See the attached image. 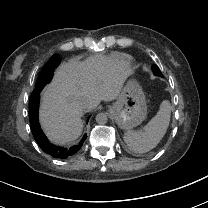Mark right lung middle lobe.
I'll return each mask as SVG.
<instances>
[{
  "label": "right lung middle lobe",
  "mask_w": 208,
  "mask_h": 208,
  "mask_svg": "<svg viewBox=\"0 0 208 208\" xmlns=\"http://www.w3.org/2000/svg\"><path fill=\"white\" fill-rule=\"evenodd\" d=\"M52 57H58V55L57 54H55V55H53ZM40 75L41 74H39V76H38V79H37V82H36V86H35V89L39 86V84L41 83L40 82V79H42V77L40 78ZM42 81V80H41Z\"/></svg>",
  "instance_id": "1"
}]
</instances>
